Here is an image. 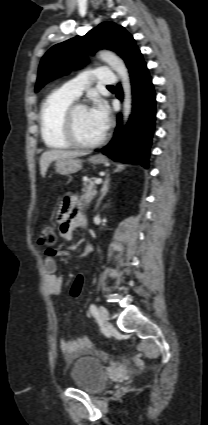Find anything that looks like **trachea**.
I'll return each mask as SVG.
<instances>
[{"label":"trachea","mask_w":208,"mask_h":425,"mask_svg":"<svg viewBox=\"0 0 208 425\" xmlns=\"http://www.w3.org/2000/svg\"><path fill=\"white\" fill-rule=\"evenodd\" d=\"M107 87H113L112 85H109V86H107Z\"/></svg>","instance_id":"1"}]
</instances>
